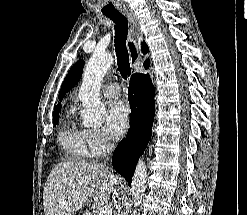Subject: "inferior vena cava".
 <instances>
[{
  "label": "inferior vena cava",
  "mask_w": 247,
  "mask_h": 215,
  "mask_svg": "<svg viewBox=\"0 0 247 215\" xmlns=\"http://www.w3.org/2000/svg\"><path fill=\"white\" fill-rule=\"evenodd\" d=\"M113 149H114V144L110 142V143L108 144L107 152H108V153H111ZM107 160H109V158H107V159L104 161V163L101 164V166H103V167L106 166V161H107ZM117 195H118V194H117ZM114 205H115V207H116V209H117V215H123V214H121V207H120V205L117 203L116 200H114Z\"/></svg>",
  "instance_id": "1"
}]
</instances>
